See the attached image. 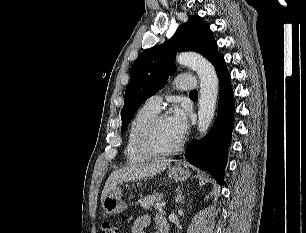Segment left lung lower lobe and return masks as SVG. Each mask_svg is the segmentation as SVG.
I'll return each instance as SVG.
<instances>
[{
    "label": "left lung lower lobe",
    "mask_w": 306,
    "mask_h": 233,
    "mask_svg": "<svg viewBox=\"0 0 306 233\" xmlns=\"http://www.w3.org/2000/svg\"><path fill=\"white\" fill-rule=\"evenodd\" d=\"M219 77L220 94L218 114L209 136L202 141H193L188 147L185 158L192 165L207 170L219 184L224 183L228 147L234 123V98L230 74L225 60L220 54L213 62Z\"/></svg>",
    "instance_id": "left-lung-lower-lobe-1"
}]
</instances>
